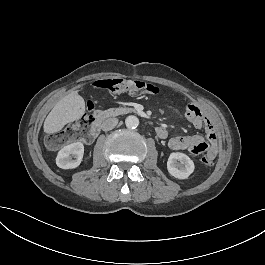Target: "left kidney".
Here are the masks:
<instances>
[{
	"instance_id": "1",
	"label": "left kidney",
	"mask_w": 265,
	"mask_h": 265,
	"mask_svg": "<svg viewBox=\"0 0 265 265\" xmlns=\"http://www.w3.org/2000/svg\"><path fill=\"white\" fill-rule=\"evenodd\" d=\"M179 161L178 166L175 167L174 162ZM195 165L191 158L183 152H171L167 161L168 173L179 180L188 179V177L194 172Z\"/></svg>"
}]
</instances>
